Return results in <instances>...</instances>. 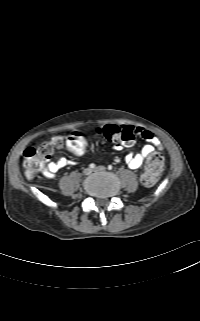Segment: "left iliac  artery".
I'll return each instance as SVG.
<instances>
[{
    "label": "left iliac artery",
    "instance_id": "44dca946",
    "mask_svg": "<svg viewBox=\"0 0 200 321\" xmlns=\"http://www.w3.org/2000/svg\"><path fill=\"white\" fill-rule=\"evenodd\" d=\"M112 168H113L112 165L108 166V170H112Z\"/></svg>",
    "mask_w": 200,
    "mask_h": 321
}]
</instances>
